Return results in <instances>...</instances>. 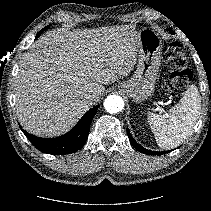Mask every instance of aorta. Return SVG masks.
I'll return each mask as SVG.
<instances>
[{"instance_id":"obj_1","label":"aorta","mask_w":211,"mask_h":211,"mask_svg":"<svg viewBox=\"0 0 211 211\" xmlns=\"http://www.w3.org/2000/svg\"><path fill=\"white\" fill-rule=\"evenodd\" d=\"M104 108L109 113H118L124 108V100L118 95H109L104 101Z\"/></svg>"}]
</instances>
